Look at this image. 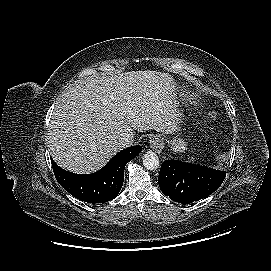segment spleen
I'll list each match as a JSON object with an SVG mask.
<instances>
[{
	"label": "spleen",
	"instance_id": "spleen-1",
	"mask_svg": "<svg viewBox=\"0 0 271 271\" xmlns=\"http://www.w3.org/2000/svg\"><path fill=\"white\" fill-rule=\"evenodd\" d=\"M196 159L194 157H189L186 161L187 162H194Z\"/></svg>",
	"mask_w": 271,
	"mask_h": 271
}]
</instances>
